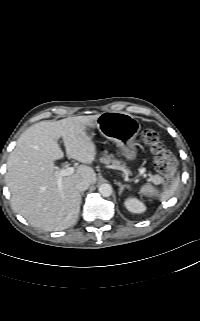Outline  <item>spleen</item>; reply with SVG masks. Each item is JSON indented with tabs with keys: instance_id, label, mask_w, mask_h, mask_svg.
<instances>
[{
	"instance_id": "spleen-1",
	"label": "spleen",
	"mask_w": 200,
	"mask_h": 321,
	"mask_svg": "<svg viewBox=\"0 0 200 321\" xmlns=\"http://www.w3.org/2000/svg\"><path fill=\"white\" fill-rule=\"evenodd\" d=\"M155 178H156V183L161 182L160 177L157 176ZM179 180H180L179 174H177V176L173 178L171 185L160 194L158 193V190L155 187H153L151 184H145L140 188L139 194L147 197L159 196L161 201L168 200L174 195L175 191L177 190L179 186Z\"/></svg>"
}]
</instances>
